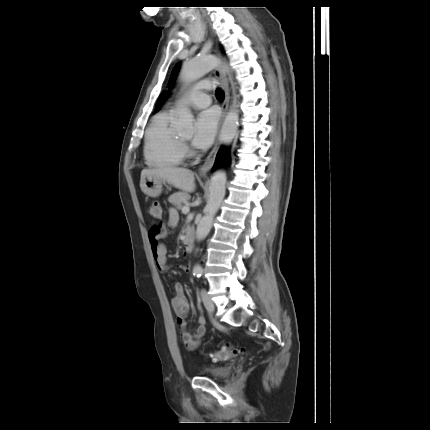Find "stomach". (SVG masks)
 <instances>
[{
    "label": "stomach",
    "instance_id": "1",
    "mask_svg": "<svg viewBox=\"0 0 430 430\" xmlns=\"http://www.w3.org/2000/svg\"><path fill=\"white\" fill-rule=\"evenodd\" d=\"M162 183H164V181L161 178L145 176L140 181V188L145 195L154 198L161 194Z\"/></svg>",
    "mask_w": 430,
    "mask_h": 430
}]
</instances>
